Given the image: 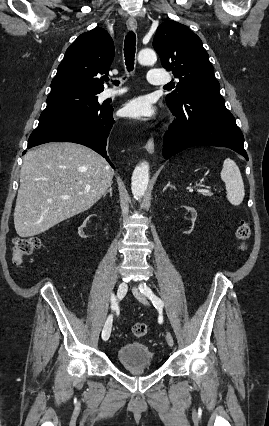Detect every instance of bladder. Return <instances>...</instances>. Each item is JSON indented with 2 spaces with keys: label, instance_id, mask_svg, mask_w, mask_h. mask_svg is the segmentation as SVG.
<instances>
[{
  "label": "bladder",
  "instance_id": "1",
  "mask_svg": "<svg viewBox=\"0 0 269 426\" xmlns=\"http://www.w3.org/2000/svg\"><path fill=\"white\" fill-rule=\"evenodd\" d=\"M117 362L125 369L150 367L153 361L151 350L138 342L121 345L115 354Z\"/></svg>",
  "mask_w": 269,
  "mask_h": 426
}]
</instances>
